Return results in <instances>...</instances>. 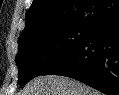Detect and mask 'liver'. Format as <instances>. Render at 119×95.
Returning <instances> with one entry per match:
<instances>
[{
  "label": "liver",
  "mask_w": 119,
  "mask_h": 95,
  "mask_svg": "<svg viewBox=\"0 0 119 95\" xmlns=\"http://www.w3.org/2000/svg\"><path fill=\"white\" fill-rule=\"evenodd\" d=\"M19 95H102L101 92L68 77L38 76Z\"/></svg>",
  "instance_id": "liver-1"
}]
</instances>
